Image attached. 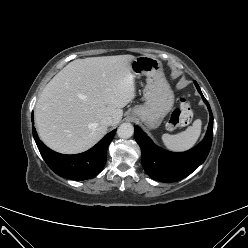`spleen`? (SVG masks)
Instances as JSON below:
<instances>
[{
	"mask_svg": "<svg viewBox=\"0 0 248 248\" xmlns=\"http://www.w3.org/2000/svg\"><path fill=\"white\" fill-rule=\"evenodd\" d=\"M202 122L196 119L192 126L175 135L163 134L162 141L167 149L182 152L192 148L201 134Z\"/></svg>",
	"mask_w": 248,
	"mask_h": 248,
	"instance_id": "spleen-1",
	"label": "spleen"
}]
</instances>
